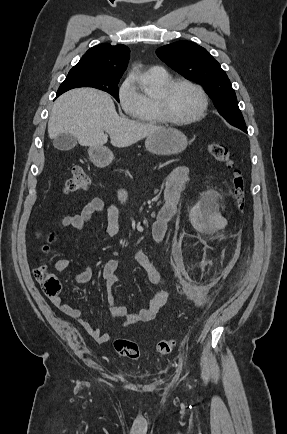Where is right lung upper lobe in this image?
I'll list each match as a JSON object with an SVG mask.
<instances>
[{"instance_id":"1","label":"right lung upper lobe","mask_w":287,"mask_h":434,"mask_svg":"<svg viewBox=\"0 0 287 434\" xmlns=\"http://www.w3.org/2000/svg\"><path fill=\"white\" fill-rule=\"evenodd\" d=\"M129 49L107 43L90 48L70 72L107 78H121L129 60Z\"/></svg>"}]
</instances>
